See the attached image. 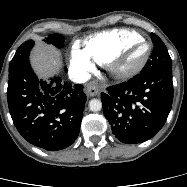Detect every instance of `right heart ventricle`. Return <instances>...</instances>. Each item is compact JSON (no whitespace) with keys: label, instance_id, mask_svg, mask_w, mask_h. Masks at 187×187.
<instances>
[{"label":"right heart ventricle","instance_id":"1","mask_svg":"<svg viewBox=\"0 0 187 187\" xmlns=\"http://www.w3.org/2000/svg\"><path fill=\"white\" fill-rule=\"evenodd\" d=\"M142 36L128 29H112L96 33L83 41V49L98 64L106 61L122 46Z\"/></svg>","mask_w":187,"mask_h":187}]
</instances>
